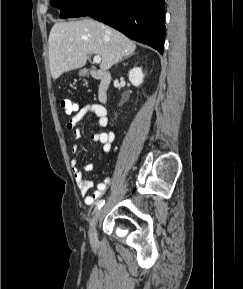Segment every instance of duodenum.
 Returning <instances> with one entry per match:
<instances>
[{
    "label": "duodenum",
    "instance_id": "obj_1",
    "mask_svg": "<svg viewBox=\"0 0 243 289\" xmlns=\"http://www.w3.org/2000/svg\"><path fill=\"white\" fill-rule=\"evenodd\" d=\"M91 75L99 81L97 96L98 100L104 104L107 101L108 88L111 81L110 74L106 71L95 70L91 72Z\"/></svg>",
    "mask_w": 243,
    "mask_h": 289
}]
</instances>
